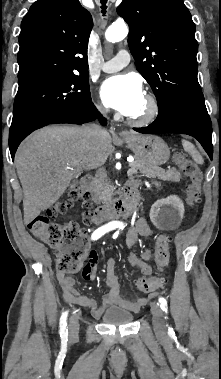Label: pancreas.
<instances>
[{
    "label": "pancreas",
    "instance_id": "1",
    "mask_svg": "<svg viewBox=\"0 0 221 379\" xmlns=\"http://www.w3.org/2000/svg\"><path fill=\"white\" fill-rule=\"evenodd\" d=\"M130 168L134 170L133 173L138 172L151 177L159 178L164 181L179 182L181 180V173L176 169L164 170L157 166H151L144 161L135 158V161L129 164ZM94 198L100 201L110 200L114 195V187L109 182H104L103 179H98L93 187Z\"/></svg>",
    "mask_w": 221,
    "mask_h": 379
}]
</instances>
